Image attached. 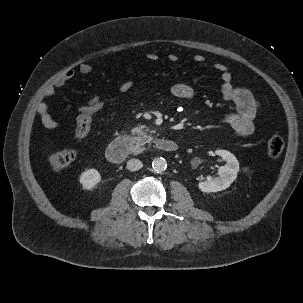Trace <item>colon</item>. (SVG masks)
Returning a JSON list of instances; mask_svg holds the SVG:
<instances>
[{"label":"colon","mask_w":303,"mask_h":303,"mask_svg":"<svg viewBox=\"0 0 303 303\" xmlns=\"http://www.w3.org/2000/svg\"><path fill=\"white\" fill-rule=\"evenodd\" d=\"M104 106V98L102 96L93 97L88 104L82 109L77 117L74 139L80 141L89 133L95 115ZM284 148L283 138L279 133H273L267 142V156L270 159H277ZM77 156V148L75 145L69 148L52 151L48 155V162L51 169L59 172L68 167Z\"/></svg>","instance_id":"5ec220e1"}]
</instances>
